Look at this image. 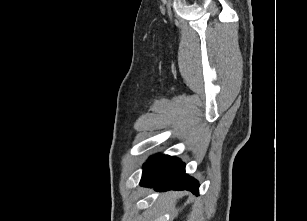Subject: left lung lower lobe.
Instances as JSON below:
<instances>
[{
    "instance_id": "0a47b994",
    "label": "left lung lower lobe",
    "mask_w": 307,
    "mask_h": 221,
    "mask_svg": "<svg viewBox=\"0 0 307 221\" xmlns=\"http://www.w3.org/2000/svg\"><path fill=\"white\" fill-rule=\"evenodd\" d=\"M141 185H152L156 190H189L198 194V182L185 174V164L178 158L161 155L143 170Z\"/></svg>"
}]
</instances>
